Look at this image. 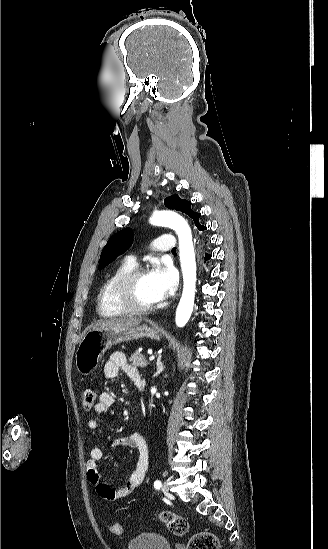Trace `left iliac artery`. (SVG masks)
<instances>
[{
	"mask_svg": "<svg viewBox=\"0 0 328 549\" xmlns=\"http://www.w3.org/2000/svg\"><path fill=\"white\" fill-rule=\"evenodd\" d=\"M161 485H162V484H161V482H160L159 480H157V481L154 482V487H155L156 489H160Z\"/></svg>",
	"mask_w": 328,
	"mask_h": 549,
	"instance_id": "1",
	"label": "left iliac artery"
}]
</instances>
